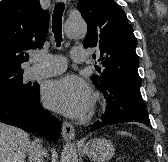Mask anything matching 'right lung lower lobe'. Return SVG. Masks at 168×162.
I'll use <instances>...</instances> for the list:
<instances>
[{
    "mask_svg": "<svg viewBox=\"0 0 168 162\" xmlns=\"http://www.w3.org/2000/svg\"><path fill=\"white\" fill-rule=\"evenodd\" d=\"M0 122L36 132L52 141L59 139L60 123L39 104V85L27 95L0 93Z\"/></svg>",
    "mask_w": 168,
    "mask_h": 162,
    "instance_id": "1",
    "label": "right lung lower lobe"
}]
</instances>
